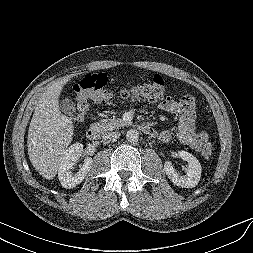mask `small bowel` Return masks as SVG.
Returning <instances> with one entry per match:
<instances>
[{
    "mask_svg": "<svg viewBox=\"0 0 253 253\" xmlns=\"http://www.w3.org/2000/svg\"><path fill=\"white\" fill-rule=\"evenodd\" d=\"M159 108L162 111L175 113L179 116L177 134L179 140L184 145L195 151L203 149L206 135L196 131L194 99H188L187 95H184L178 100L172 97H167L159 104ZM152 136L164 143H167L172 139V134L168 130L160 132L154 131Z\"/></svg>",
    "mask_w": 253,
    "mask_h": 253,
    "instance_id": "obj_1",
    "label": "small bowel"
}]
</instances>
